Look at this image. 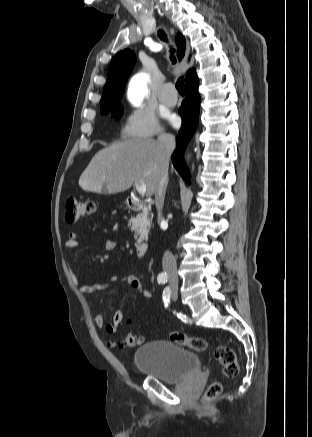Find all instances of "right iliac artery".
<instances>
[{
	"instance_id": "right-iliac-artery-1",
	"label": "right iliac artery",
	"mask_w": 312,
	"mask_h": 437,
	"mask_svg": "<svg viewBox=\"0 0 312 437\" xmlns=\"http://www.w3.org/2000/svg\"><path fill=\"white\" fill-rule=\"evenodd\" d=\"M168 275L166 273H161L157 277V281L159 284H165L167 282Z\"/></svg>"
}]
</instances>
